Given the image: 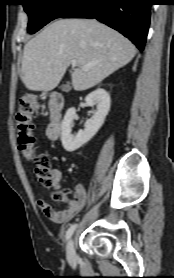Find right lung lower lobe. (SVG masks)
I'll use <instances>...</instances> for the list:
<instances>
[{
    "label": "right lung lower lobe",
    "instance_id": "right-lung-lower-lobe-1",
    "mask_svg": "<svg viewBox=\"0 0 174 278\" xmlns=\"http://www.w3.org/2000/svg\"><path fill=\"white\" fill-rule=\"evenodd\" d=\"M152 0H78L62 18H95L116 29L143 51Z\"/></svg>",
    "mask_w": 174,
    "mask_h": 278
}]
</instances>
